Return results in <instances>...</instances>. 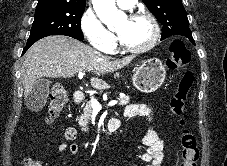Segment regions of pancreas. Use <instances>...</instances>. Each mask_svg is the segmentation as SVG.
I'll use <instances>...</instances> for the list:
<instances>
[{
  "instance_id": "obj_1",
  "label": "pancreas",
  "mask_w": 227,
  "mask_h": 166,
  "mask_svg": "<svg viewBox=\"0 0 227 166\" xmlns=\"http://www.w3.org/2000/svg\"><path fill=\"white\" fill-rule=\"evenodd\" d=\"M118 100H119V105L123 106V105H127L129 103L130 98H129V96H122V97H119ZM92 113H93V108H92L91 102L89 101L85 104L83 113L81 114L80 118L78 119V124L80 127H82L83 131L88 130L87 125L89 124V120H90Z\"/></svg>"
}]
</instances>
